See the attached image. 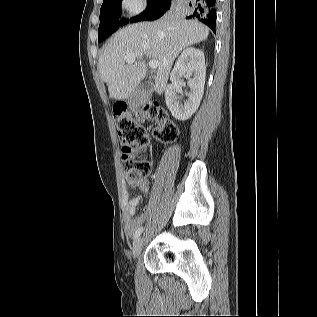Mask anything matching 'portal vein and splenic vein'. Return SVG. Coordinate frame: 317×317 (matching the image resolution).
<instances>
[{"mask_svg":"<svg viewBox=\"0 0 317 317\" xmlns=\"http://www.w3.org/2000/svg\"><path fill=\"white\" fill-rule=\"evenodd\" d=\"M124 59L127 63H133L136 60V55L134 53H130L127 54ZM149 67L151 69H156L158 67V62L156 60H150Z\"/></svg>","mask_w":317,"mask_h":317,"instance_id":"obj_1","label":"portal vein and splenic vein"}]
</instances>
